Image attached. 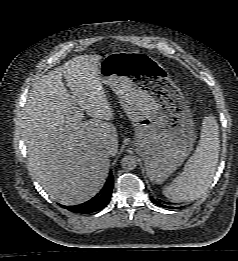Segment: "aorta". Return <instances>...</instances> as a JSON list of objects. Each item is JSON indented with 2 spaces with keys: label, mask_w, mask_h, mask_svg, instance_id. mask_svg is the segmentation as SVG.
<instances>
[{
  "label": "aorta",
  "mask_w": 238,
  "mask_h": 261,
  "mask_svg": "<svg viewBox=\"0 0 238 261\" xmlns=\"http://www.w3.org/2000/svg\"><path fill=\"white\" fill-rule=\"evenodd\" d=\"M121 166L124 170L131 171L137 166V159L133 155H126L121 160Z\"/></svg>",
  "instance_id": "1"
}]
</instances>
